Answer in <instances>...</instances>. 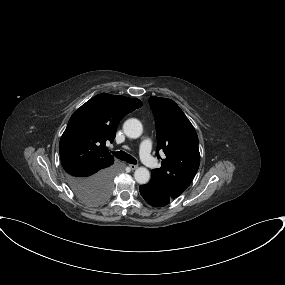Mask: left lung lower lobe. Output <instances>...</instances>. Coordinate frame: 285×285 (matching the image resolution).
<instances>
[{"label":"left lung lower lobe","mask_w":285,"mask_h":285,"mask_svg":"<svg viewBox=\"0 0 285 285\" xmlns=\"http://www.w3.org/2000/svg\"><path fill=\"white\" fill-rule=\"evenodd\" d=\"M139 191L144 200L154 207H163L176 198L163 182L154 177H151L149 183L141 185Z\"/></svg>","instance_id":"0a47b994"}]
</instances>
